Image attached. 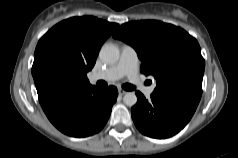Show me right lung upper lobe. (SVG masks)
<instances>
[{"label":"right lung upper lobe","mask_w":238,"mask_h":158,"mask_svg":"<svg viewBox=\"0 0 238 158\" xmlns=\"http://www.w3.org/2000/svg\"><path fill=\"white\" fill-rule=\"evenodd\" d=\"M118 26L93 16L72 17L53 26L35 49L32 66L35 84L48 81L38 72L41 58L48 53H56L69 68L67 81L61 84L90 85L87 72L93 68L102 44Z\"/></svg>","instance_id":"obj_1"}]
</instances>
